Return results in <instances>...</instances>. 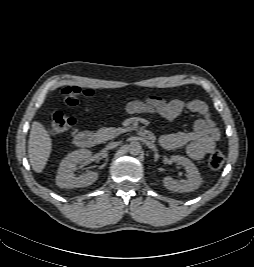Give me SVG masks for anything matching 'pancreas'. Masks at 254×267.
<instances>
[{
    "instance_id": "obj_1",
    "label": "pancreas",
    "mask_w": 254,
    "mask_h": 267,
    "mask_svg": "<svg viewBox=\"0 0 254 267\" xmlns=\"http://www.w3.org/2000/svg\"><path fill=\"white\" fill-rule=\"evenodd\" d=\"M122 132H124V129L121 128H101L96 132V135L102 140V141H106L109 139H112L116 136H118L119 134H121Z\"/></svg>"
}]
</instances>
